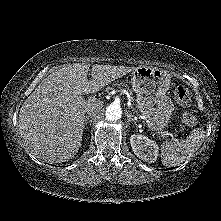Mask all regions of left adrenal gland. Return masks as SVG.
Wrapping results in <instances>:
<instances>
[{
    "mask_svg": "<svg viewBox=\"0 0 221 221\" xmlns=\"http://www.w3.org/2000/svg\"><path fill=\"white\" fill-rule=\"evenodd\" d=\"M132 114L130 113V111H127V118H128V121H134V119L132 118ZM135 125L137 126L136 122H135Z\"/></svg>",
    "mask_w": 221,
    "mask_h": 221,
    "instance_id": "left-adrenal-gland-1",
    "label": "left adrenal gland"
}]
</instances>
